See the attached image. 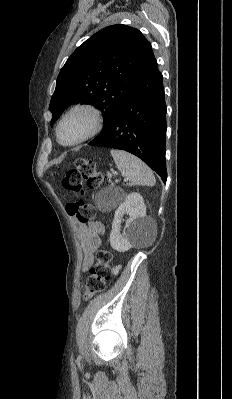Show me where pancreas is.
Here are the masks:
<instances>
[{
  "label": "pancreas",
  "mask_w": 232,
  "mask_h": 399,
  "mask_svg": "<svg viewBox=\"0 0 232 399\" xmlns=\"http://www.w3.org/2000/svg\"><path fill=\"white\" fill-rule=\"evenodd\" d=\"M111 178H112V174H108V182H112Z\"/></svg>",
  "instance_id": "obj_1"
}]
</instances>
